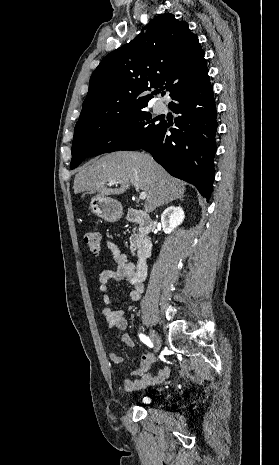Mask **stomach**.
Masks as SVG:
<instances>
[{
	"label": "stomach",
	"mask_w": 279,
	"mask_h": 465,
	"mask_svg": "<svg viewBox=\"0 0 279 465\" xmlns=\"http://www.w3.org/2000/svg\"><path fill=\"white\" fill-rule=\"evenodd\" d=\"M90 207L96 216L108 222H116L122 216L123 209L121 203L108 197H93Z\"/></svg>",
	"instance_id": "obj_1"
}]
</instances>
